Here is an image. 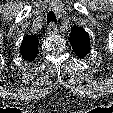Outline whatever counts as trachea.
<instances>
[{
	"instance_id": "3493384b",
	"label": "trachea",
	"mask_w": 113,
	"mask_h": 113,
	"mask_svg": "<svg viewBox=\"0 0 113 113\" xmlns=\"http://www.w3.org/2000/svg\"><path fill=\"white\" fill-rule=\"evenodd\" d=\"M50 23H56V16L53 11H50L47 14V25H49Z\"/></svg>"
}]
</instances>
